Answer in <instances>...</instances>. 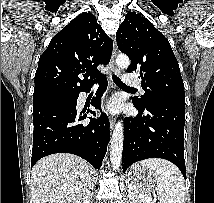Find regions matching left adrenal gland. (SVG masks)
Instances as JSON below:
<instances>
[{"label":"left adrenal gland","mask_w":214,"mask_h":203,"mask_svg":"<svg viewBox=\"0 0 214 203\" xmlns=\"http://www.w3.org/2000/svg\"><path fill=\"white\" fill-rule=\"evenodd\" d=\"M128 198H129V200L132 199V198H131V192H130V191H128Z\"/></svg>","instance_id":"a2214340"}]
</instances>
